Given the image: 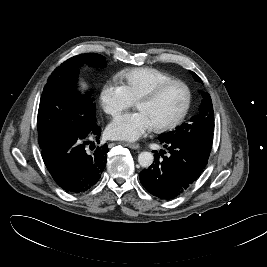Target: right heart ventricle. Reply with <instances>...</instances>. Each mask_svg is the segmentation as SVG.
I'll use <instances>...</instances> for the list:
<instances>
[{"label":"right heart ventricle","instance_id":"obj_1","mask_svg":"<svg viewBox=\"0 0 267 267\" xmlns=\"http://www.w3.org/2000/svg\"><path fill=\"white\" fill-rule=\"evenodd\" d=\"M118 77L132 101L157 85L173 79L168 73L149 67L128 69L122 71Z\"/></svg>","mask_w":267,"mask_h":267}]
</instances>
